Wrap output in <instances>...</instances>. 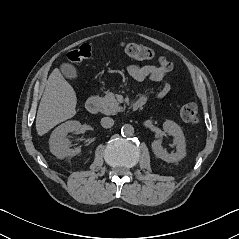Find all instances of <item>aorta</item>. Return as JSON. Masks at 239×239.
Here are the masks:
<instances>
[{
    "label": "aorta",
    "mask_w": 239,
    "mask_h": 239,
    "mask_svg": "<svg viewBox=\"0 0 239 239\" xmlns=\"http://www.w3.org/2000/svg\"><path fill=\"white\" fill-rule=\"evenodd\" d=\"M122 135L125 136H133L134 134V127L131 124H124L121 128Z\"/></svg>",
    "instance_id": "1"
}]
</instances>
